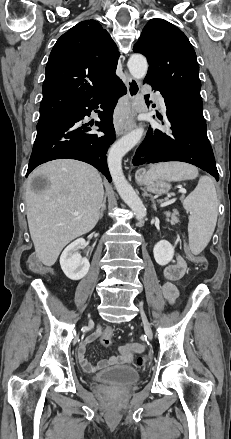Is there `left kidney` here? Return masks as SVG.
Wrapping results in <instances>:
<instances>
[{
    "mask_svg": "<svg viewBox=\"0 0 231 439\" xmlns=\"http://www.w3.org/2000/svg\"><path fill=\"white\" fill-rule=\"evenodd\" d=\"M153 254L156 262L164 266L173 259L174 247L168 241L161 240L155 244Z\"/></svg>",
    "mask_w": 231,
    "mask_h": 439,
    "instance_id": "left-kidney-1",
    "label": "left kidney"
}]
</instances>
